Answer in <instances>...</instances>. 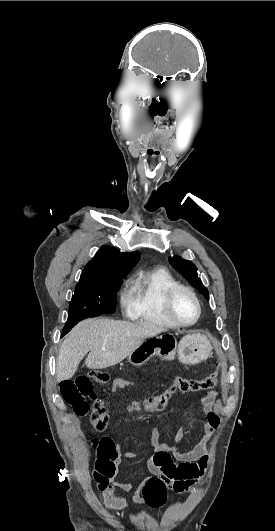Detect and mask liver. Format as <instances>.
I'll return each mask as SVG.
<instances>
[{
    "instance_id": "obj_1",
    "label": "liver",
    "mask_w": 275,
    "mask_h": 531,
    "mask_svg": "<svg viewBox=\"0 0 275 531\" xmlns=\"http://www.w3.org/2000/svg\"><path fill=\"white\" fill-rule=\"evenodd\" d=\"M165 329L151 323H130L112 319H86L78 323L64 339L56 363L57 381L71 379L83 357L89 353L88 369H106L121 363L147 337ZM105 347L107 351H102Z\"/></svg>"
}]
</instances>
